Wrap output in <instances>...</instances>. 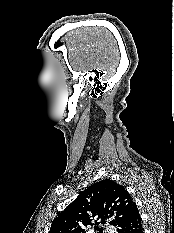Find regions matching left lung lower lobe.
I'll return each mask as SVG.
<instances>
[{
  "mask_svg": "<svg viewBox=\"0 0 174 233\" xmlns=\"http://www.w3.org/2000/svg\"><path fill=\"white\" fill-rule=\"evenodd\" d=\"M117 230L118 233H144L139 212L135 213L129 220L121 224Z\"/></svg>",
  "mask_w": 174,
  "mask_h": 233,
  "instance_id": "0a47b994",
  "label": "left lung lower lobe"
}]
</instances>
